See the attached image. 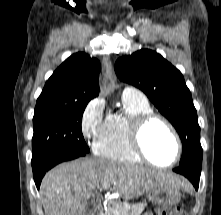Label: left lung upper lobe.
Returning a JSON list of instances; mask_svg holds the SVG:
<instances>
[{
    "label": "left lung upper lobe",
    "instance_id": "5c2ea615",
    "mask_svg": "<svg viewBox=\"0 0 221 215\" xmlns=\"http://www.w3.org/2000/svg\"><path fill=\"white\" fill-rule=\"evenodd\" d=\"M115 72L121 81L141 89L175 127L183 144L180 166H201L203 150L197 112L181 72L149 49L119 58Z\"/></svg>",
    "mask_w": 221,
    "mask_h": 215
}]
</instances>
